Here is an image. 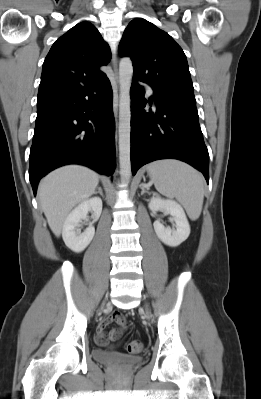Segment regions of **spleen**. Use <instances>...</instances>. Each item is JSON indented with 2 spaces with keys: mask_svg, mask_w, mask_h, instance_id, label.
I'll list each match as a JSON object with an SVG mask.
<instances>
[{
  "mask_svg": "<svg viewBox=\"0 0 261 399\" xmlns=\"http://www.w3.org/2000/svg\"><path fill=\"white\" fill-rule=\"evenodd\" d=\"M147 172L155 188L167 197H175L192 220L199 218L204 199V178L181 161L164 159L150 163Z\"/></svg>",
  "mask_w": 261,
  "mask_h": 399,
  "instance_id": "1",
  "label": "spleen"
}]
</instances>
